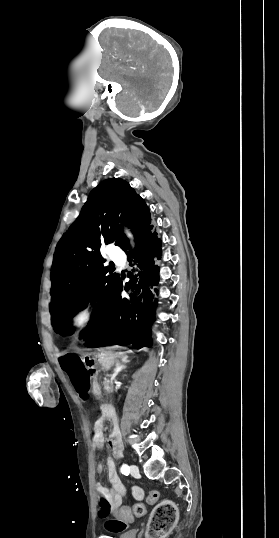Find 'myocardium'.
Segmentation results:
<instances>
[{
  "label": "myocardium",
  "mask_w": 279,
  "mask_h": 538,
  "mask_svg": "<svg viewBox=\"0 0 279 538\" xmlns=\"http://www.w3.org/2000/svg\"><path fill=\"white\" fill-rule=\"evenodd\" d=\"M95 305L85 303L81 305L71 316L69 330L72 334H79L86 330L92 323L95 316Z\"/></svg>",
  "instance_id": "obj_1"
}]
</instances>
